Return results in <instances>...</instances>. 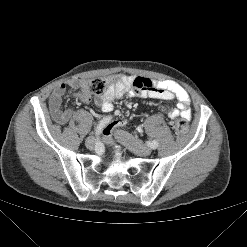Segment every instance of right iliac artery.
<instances>
[{
	"label": "right iliac artery",
	"mask_w": 247,
	"mask_h": 247,
	"mask_svg": "<svg viewBox=\"0 0 247 247\" xmlns=\"http://www.w3.org/2000/svg\"><path fill=\"white\" fill-rule=\"evenodd\" d=\"M110 119L111 117H106L100 121L99 125L97 126L96 132H95L96 136H99L101 130L104 128L105 124H107L110 121ZM95 150L97 152H102L104 150V145L102 143H97L95 145Z\"/></svg>",
	"instance_id": "1"
}]
</instances>
